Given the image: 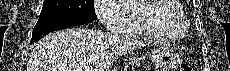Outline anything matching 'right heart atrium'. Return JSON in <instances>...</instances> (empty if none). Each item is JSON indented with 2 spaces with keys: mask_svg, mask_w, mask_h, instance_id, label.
<instances>
[{
  "mask_svg": "<svg viewBox=\"0 0 230 71\" xmlns=\"http://www.w3.org/2000/svg\"><path fill=\"white\" fill-rule=\"evenodd\" d=\"M128 0H96L95 13L99 21L109 30L123 32L131 23V18L124 6Z\"/></svg>",
  "mask_w": 230,
  "mask_h": 71,
  "instance_id": "right-heart-atrium-1",
  "label": "right heart atrium"
}]
</instances>
